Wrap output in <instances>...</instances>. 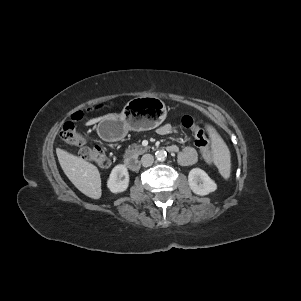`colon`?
Returning a JSON list of instances; mask_svg holds the SVG:
<instances>
[{
	"instance_id": "1",
	"label": "colon",
	"mask_w": 301,
	"mask_h": 301,
	"mask_svg": "<svg viewBox=\"0 0 301 301\" xmlns=\"http://www.w3.org/2000/svg\"><path fill=\"white\" fill-rule=\"evenodd\" d=\"M83 118L82 112H76L71 116L70 121L66 122L61 131V139L73 146L81 147L79 150V156L98 167L106 168L110 165V159L105 151L99 146H85L86 139L84 135L77 129L76 122ZM182 125L185 128L190 129L195 138V145L200 149L201 154L205 161L212 162V155L209 148V142L206 134L199 122L189 115H185L181 120Z\"/></svg>"
}]
</instances>
